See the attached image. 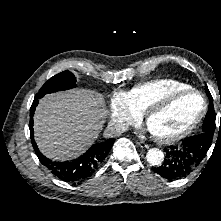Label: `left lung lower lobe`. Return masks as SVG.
<instances>
[{"label": "left lung lower lobe", "instance_id": "obj_1", "mask_svg": "<svg viewBox=\"0 0 221 221\" xmlns=\"http://www.w3.org/2000/svg\"><path fill=\"white\" fill-rule=\"evenodd\" d=\"M209 143L191 136L180 145L171 146L166 151L164 162L153 170L168 180L186 177L193 172L206 156Z\"/></svg>", "mask_w": 221, "mask_h": 221}]
</instances>
